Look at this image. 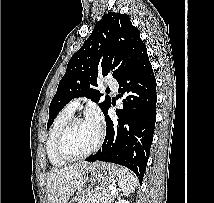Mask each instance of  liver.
Instances as JSON below:
<instances>
[{
	"label": "liver",
	"mask_w": 214,
	"mask_h": 203,
	"mask_svg": "<svg viewBox=\"0 0 214 203\" xmlns=\"http://www.w3.org/2000/svg\"><path fill=\"white\" fill-rule=\"evenodd\" d=\"M88 163L80 162L64 168H54L47 177L49 203H68L80 188L82 173Z\"/></svg>",
	"instance_id": "6515ba94"
}]
</instances>
